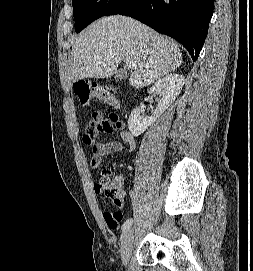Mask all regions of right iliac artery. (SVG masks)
I'll return each instance as SVG.
<instances>
[{"mask_svg":"<svg viewBox=\"0 0 253 271\" xmlns=\"http://www.w3.org/2000/svg\"><path fill=\"white\" fill-rule=\"evenodd\" d=\"M131 224H132V219L131 218L127 219L125 223L122 225V232L125 233L130 228Z\"/></svg>","mask_w":253,"mask_h":271,"instance_id":"82829eb1","label":"right iliac artery"}]
</instances>
